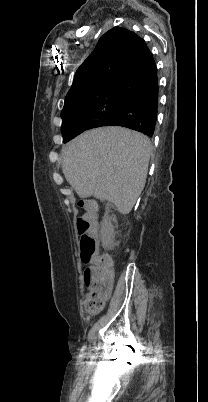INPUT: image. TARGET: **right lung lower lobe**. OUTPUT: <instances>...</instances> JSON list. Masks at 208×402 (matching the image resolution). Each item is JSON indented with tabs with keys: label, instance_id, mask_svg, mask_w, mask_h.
<instances>
[{
	"label": "right lung lower lobe",
	"instance_id": "right-lung-lower-lobe-1",
	"mask_svg": "<svg viewBox=\"0 0 208 402\" xmlns=\"http://www.w3.org/2000/svg\"><path fill=\"white\" fill-rule=\"evenodd\" d=\"M121 96L118 110L62 123L63 142L85 130L101 126H123L151 137L158 108V78L153 55L144 43L113 80Z\"/></svg>",
	"mask_w": 208,
	"mask_h": 402
}]
</instances>
